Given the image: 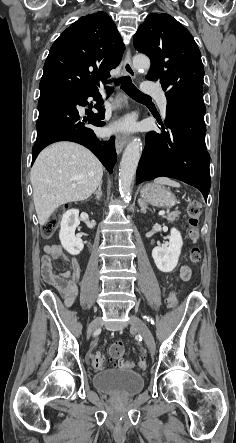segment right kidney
Instances as JSON below:
<instances>
[{"label": "right kidney", "mask_w": 236, "mask_h": 443, "mask_svg": "<svg viewBox=\"0 0 236 443\" xmlns=\"http://www.w3.org/2000/svg\"><path fill=\"white\" fill-rule=\"evenodd\" d=\"M79 224L78 209H70L62 217L59 239L63 248L72 255L80 254L84 248L82 239L75 236Z\"/></svg>", "instance_id": "obj_1"}]
</instances>
